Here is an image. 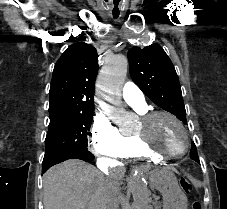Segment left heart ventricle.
<instances>
[{"label": "left heart ventricle", "instance_id": "1", "mask_svg": "<svg viewBox=\"0 0 227 209\" xmlns=\"http://www.w3.org/2000/svg\"><path fill=\"white\" fill-rule=\"evenodd\" d=\"M135 133H139L151 147L162 153L180 152L185 145L181 129L164 115H158L143 124L139 121Z\"/></svg>", "mask_w": 227, "mask_h": 209}]
</instances>
